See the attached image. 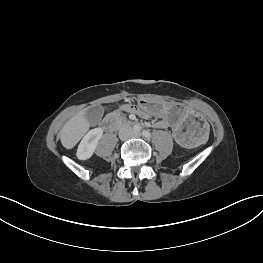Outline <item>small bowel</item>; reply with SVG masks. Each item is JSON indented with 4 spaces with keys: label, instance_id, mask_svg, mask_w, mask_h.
Instances as JSON below:
<instances>
[{
    "label": "small bowel",
    "instance_id": "small-bowel-1",
    "mask_svg": "<svg viewBox=\"0 0 263 263\" xmlns=\"http://www.w3.org/2000/svg\"><path fill=\"white\" fill-rule=\"evenodd\" d=\"M122 109L126 112H129V113H133V114H136L137 116L139 117H142V118H148L149 116H147L144 112H143V108L142 107H136V106H133V105H124L122 107ZM156 128L158 129H167L166 126H163L158 122L155 123L154 125ZM173 133V131H172Z\"/></svg>",
    "mask_w": 263,
    "mask_h": 263
}]
</instances>
